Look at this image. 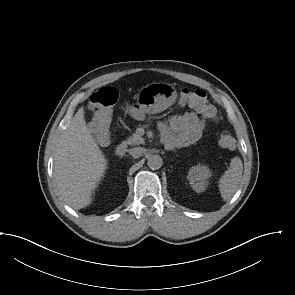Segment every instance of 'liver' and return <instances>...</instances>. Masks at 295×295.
<instances>
[{"label": "liver", "instance_id": "liver-1", "mask_svg": "<svg viewBox=\"0 0 295 295\" xmlns=\"http://www.w3.org/2000/svg\"><path fill=\"white\" fill-rule=\"evenodd\" d=\"M107 169V159L84 118L81 107L62 132L54 152V179L73 209L87 207Z\"/></svg>", "mask_w": 295, "mask_h": 295}]
</instances>
